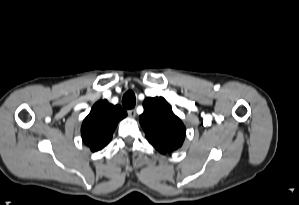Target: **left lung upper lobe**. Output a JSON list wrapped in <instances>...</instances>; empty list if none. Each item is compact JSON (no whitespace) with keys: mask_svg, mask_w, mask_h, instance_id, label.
Segmentation results:
<instances>
[{"mask_svg":"<svg viewBox=\"0 0 299 205\" xmlns=\"http://www.w3.org/2000/svg\"><path fill=\"white\" fill-rule=\"evenodd\" d=\"M140 124L149 143L160 153H170L182 146L185 126L163 97L147 98Z\"/></svg>","mask_w":299,"mask_h":205,"instance_id":"obj_1","label":"left lung upper lobe"}]
</instances>
